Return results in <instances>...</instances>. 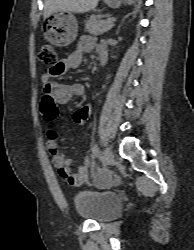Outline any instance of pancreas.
I'll return each mask as SVG.
<instances>
[{
  "instance_id": "1",
  "label": "pancreas",
  "mask_w": 194,
  "mask_h": 250,
  "mask_svg": "<svg viewBox=\"0 0 194 250\" xmlns=\"http://www.w3.org/2000/svg\"><path fill=\"white\" fill-rule=\"evenodd\" d=\"M112 27L113 23H107V20H102L100 15L90 16V18L85 23V31L93 35L103 34Z\"/></svg>"
}]
</instances>
